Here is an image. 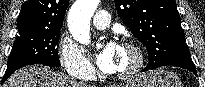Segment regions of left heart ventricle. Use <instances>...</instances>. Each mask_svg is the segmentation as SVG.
<instances>
[{
	"label": "left heart ventricle",
	"instance_id": "obj_1",
	"mask_svg": "<svg viewBox=\"0 0 205 87\" xmlns=\"http://www.w3.org/2000/svg\"><path fill=\"white\" fill-rule=\"evenodd\" d=\"M134 61V54L130 50L120 47L116 58L115 72L120 73L129 70L134 64Z\"/></svg>",
	"mask_w": 205,
	"mask_h": 87
}]
</instances>
